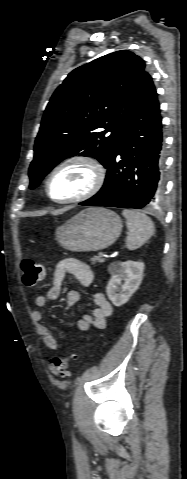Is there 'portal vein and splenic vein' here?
<instances>
[{
  "mask_svg": "<svg viewBox=\"0 0 187 479\" xmlns=\"http://www.w3.org/2000/svg\"><path fill=\"white\" fill-rule=\"evenodd\" d=\"M99 256L102 258L105 256L104 252H99Z\"/></svg>",
  "mask_w": 187,
  "mask_h": 479,
  "instance_id": "1",
  "label": "portal vein and splenic vein"
}]
</instances>
